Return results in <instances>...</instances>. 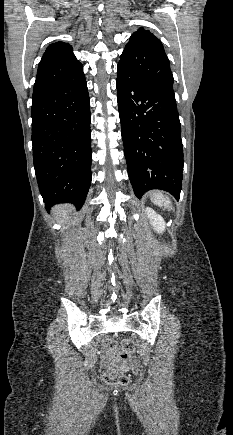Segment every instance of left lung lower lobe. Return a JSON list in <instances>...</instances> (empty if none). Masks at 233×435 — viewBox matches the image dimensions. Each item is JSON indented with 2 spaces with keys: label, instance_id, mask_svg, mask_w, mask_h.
Masks as SVG:
<instances>
[{
  "label": "left lung lower lobe",
  "instance_id": "obj_1",
  "mask_svg": "<svg viewBox=\"0 0 233 435\" xmlns=\"http://www.w3.org/2000/svg\"><path fill=\"white\" fill-rule=\"evenodd\" d=\"M117 100L128 175L136 196L162 189L180 197L183 147L173 91L118 65Z\"/></svg>",
  "mask_w": 233,
  "mask_h": 435
}]
</instances>
